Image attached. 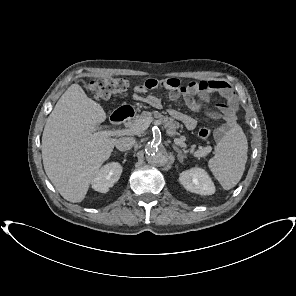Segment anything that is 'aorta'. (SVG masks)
I'll return each instance as SVG.
<instances>
[{
	"label": "aorta",
	"mask_w": 296,
	"mask_h": 296,
	"mask_svg": "<svg viewBox=\"0 0 296 296\" xmlns=\"http://www.w3.org/2000/svg\"><path fill=\"white\" fill-rule=\"evenodd\" d=\"M147 161L154 166H164L169 161L167 150L155 143H148L145 146Z\"/></svg>",
	"instance_id": "aorta-1"
}]
</instances>
